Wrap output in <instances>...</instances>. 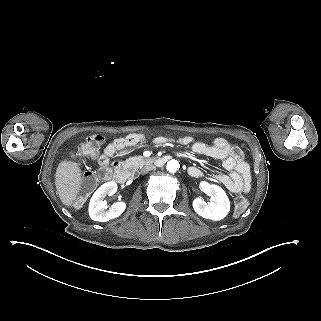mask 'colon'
<instances>
[{
    "label": "colon",
    "mask_w": 321,
    "mask_h": 321,
    "mask_svg": "<svg viewBox=\"0 0 321 321\" xmlns=\"http://www.w3.org/2000/svg\"><path fill=\"white\" fill-rule=\"evenodd\" d=\"M103 136L94 134L87 137L76 149L77 156L93 157L97 155L102 143ZM95 186V178L92 174H87L82 183V194L86 195ZM248 206V201L244 196H237L234 200V213L235 215L242 214Z\"/></svg>",
    "instance_id": "1"
}]
</instances>
